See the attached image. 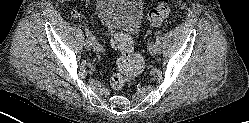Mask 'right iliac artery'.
Listing matches in <instances>:
<instances>
[{"label":"right iliac artery","instance_id":"1","mask_svg":"<svg viewBox=\"0 0 249 123\" xmlns=\"http://www.w3.org/2000/svg\"><path fill=\"white\" fill-rule=\"evenodd\" d=\"M85 34L88 37V39L91 41V44L96 50L98 51L103 50V47L97 42L96 38L93 36V34L91 33L89 29L87 28L85 29Z\"/></svg>","mask_w":249,"mask_h":123}]
</instances>
